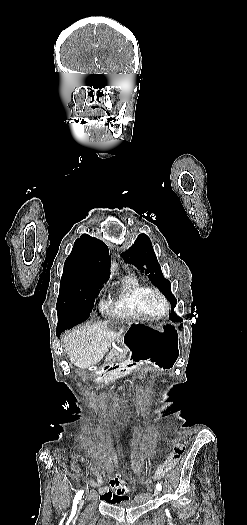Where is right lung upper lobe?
Returning <instances> with one entry per match:
<instances>
[{
  "instance_id": "right-lung-upper-lobe-1",
  "label": "right lung upper lobe",
  "mask_w": 247,
  "mask_h": 525,
  "mask_svg": "<svg viewBox=\"0 0 247 525\" xmlns=\"http://www.w3.org/2000/svg\"><path fill=\"white\" fill-rule=\"evenodd\" d=\"M109 263V250L105 243L83 234L75 241L74 247L65 261L63 272H85L98 276H108Z\"/></svg>"
}]
</instances>
